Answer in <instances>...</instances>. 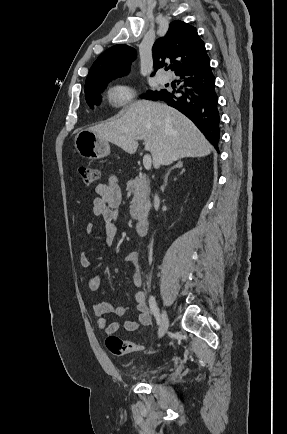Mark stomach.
Listing matches in <instances>:
<instances>
[{"mask_svg": "<svg viewBox=\"0 0 287 434\" xmlns=\"http://www.w3.org/2000/svg\"><path fill=\"white\" fill-rule=\"evenodd\" d=\"M74 142L77 152L89 160L101 159L110 153L108 141L89 129L79 131Z\"/></svg>", "mask_w": 287, "mask_h": 434, "instance_id": "obj_1", "label": "stomach"}]
</instances>
